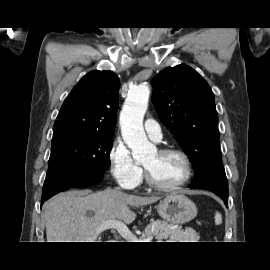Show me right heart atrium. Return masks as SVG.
I'll list each match as a JSON object with an SVG mask.
<instances>
[{"label":"right heart atrium","instance_id":"right-heart-atrium-1","mask_svg":"<svg viewBox=\"0 0 270 270\" xmlns=\"http://www.w3.org/2000/svg\"><path fill=\"white\" fill-rule=\"evenodd\" d=\"M108 161L112 177L123 188L133 189L139 185L143 175L142 168L135 162L123 141H114L108 154Z\"/></svg>","mask_w":270,"mask_h":270}]
</instances>
